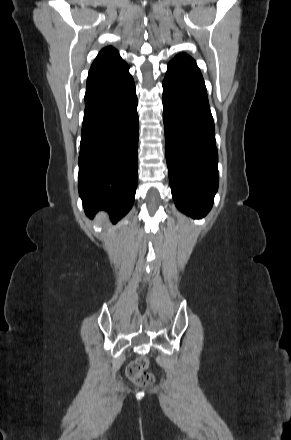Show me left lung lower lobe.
I'll return each instance as SVG.
<instances>
[{
    "label": "left lung lower lobe",
    "instance_id": "left-lung-lower-lobe-1",
    "mask_svg": "<svg viewBox=\"0 0 291 440\" xmlns=\"http://www.w3.org/2000/svg\"><path fill=\"white\" fill-rule=\"evenodd\" d=\"M165 153L172 197L192 218L204 217L218 189L213 118L196 62L178 54L163 81Z\"/></svg>",
    "mask_w": 291,
    "mask_h": 440
}]
</instances>
